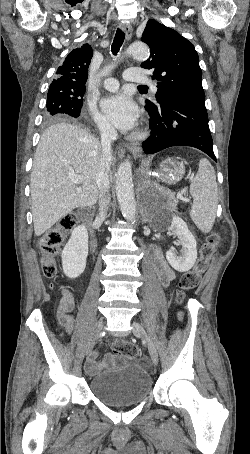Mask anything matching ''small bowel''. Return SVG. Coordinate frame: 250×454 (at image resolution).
Wrapping results in <instances>:
<instances>
[{"mask_svg": "<svg viewBox=\"0 0 250 454\" xmlns=\"http://www.w3.org/2000/svg\"><path fill=\"white\" fill-rule=\"evenodd\" d=\"M154 264L162 285H168V283L175 278V274L165 261L161 251L158 249L154 252ZM75 306V297L69 290L64 289L62 291V297L56 309V317L59 325L65 329L66 334H70L74 329L75 320L71 313L74 311ZM99 356L100 353L97 350L92 351L88 356L85 363V370L88 374L93 375L97 373L101 368L107 367L115 362L114 357L111 355L106 356L102 361H99Z\"/></svg>", "mask_w": 250, "mask_h": 454, "instance_id": "1", "label": "small bowel"}]
</instances>
